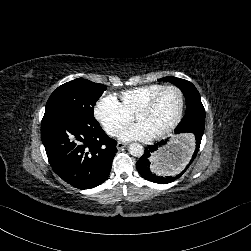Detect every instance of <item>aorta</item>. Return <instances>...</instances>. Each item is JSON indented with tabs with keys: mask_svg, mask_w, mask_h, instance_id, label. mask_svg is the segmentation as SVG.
Returning a JSON list of instances; mask_svg holds the SVG:
<instances>
[{
	"mask_svg": "<svg viewBox=\"0 0 251 251\" xmlns=\"http://www.w3.org/2000/svg\"><path fill=\"white\" fill-rule=\"evenodd\" d=\"M129 153L132 156H141L143 155L144 148L138 142H132L128 146Z\"/></svg>",
	"mask_w": 251,
	"mask_h": 251,
	"instance_id": "762f6f07",
	"label": "aorta"
}]
</instances>
